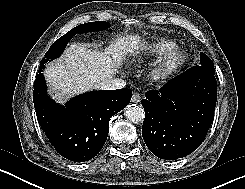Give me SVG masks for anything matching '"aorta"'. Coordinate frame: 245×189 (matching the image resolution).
<instances>
[{
	"label": "aorta",
	"instance_id": "obj_1",
	"mask_svg": "<svg viewBox=\"0 0 245 189\" xmlns=\"http://www.w3.org/2000/svg\"><path fill=\"white\" fill-rule=\"evenodd\" d=\"M125 115L130 121L139 123L144 119V110L141 106L131 104L126 107Z\"/></svg>",
	"mask_w": 245,
	"mask_h": 189
}]
</instances>
